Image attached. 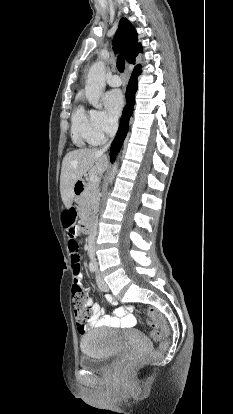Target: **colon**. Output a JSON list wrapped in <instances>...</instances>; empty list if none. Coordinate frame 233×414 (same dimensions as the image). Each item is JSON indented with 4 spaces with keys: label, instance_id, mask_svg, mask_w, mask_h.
I'll return each instance as SVG.
<instances>
[{
    "label": "colon",
    "instance_id": "obj_1",
    "mask_svg": "<svg viewBox=\"0 0 233 414\" xmlns=\"http://www.w3.org/2000/svg\"><path fill=\"white\" fill-rule=\"evenodd\" d=\"M75 214L74 212H67L64 215L63 222L66 228L67 236H68V248L70 254L72 251L78 252V242L76 239V226L74 224ZM79 258V255H78ZM73 268V267H72ZM79 294L72 293V301L74 306V313L75 319L80 332H84L87 324L91 319V311L87 305V295L85 290L81 287ZM148 322L149 324L154 327L155 329L151 332V337L156 342H161L163 333L166 331L165 321L163 319L162 314L155 308H149L147 312ZM165 343H160L159 347L152 353L153 357L159 356L165 350ZM139 363L138 358H130L128 359L124 365L123 370L129 371L137 366Z\"/></svg>",
    "mask_w": 233,
    "mask_h": 414
}]
</instances>
